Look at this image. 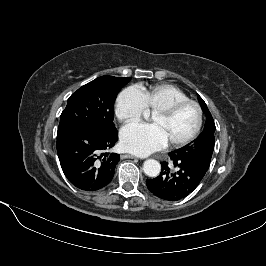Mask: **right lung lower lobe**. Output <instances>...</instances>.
<instances>
[{
    "mask_svg": "<svg viewBox=\"0 0 266 266\" xmlns=\"http://www.w3.org/2000/svg\"><path fill=\"white\" fill-rule=\"evenodd\" d=\"M117 140L116 128L106 132L78 126L58 129L57 153L67 179L84 191L107 186L120 160L119 154L107 151Z\"/></svg>",
    "mask_w": 266,
    "mask_h": 266,
    "instance_id": "98d812e1",
    "label": "right lung lower lobe"
}]
</instances>
